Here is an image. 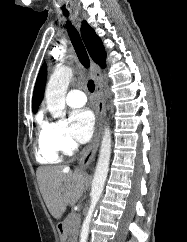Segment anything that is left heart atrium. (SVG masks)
<instances>
[{
  "instance_id": "1",
  "label": "left heart atrium",
  "mask_w": 187,
  "mask_h": 242,
  "mask_svg": "<svg viewBox=\"0 0 187 242\" xmlns=\"http://www.w3.org/2000/svg\"><path fill=\"white\" fill-rule=\"evenodd\" d=\"M72 136L79 142H87L94 131L95 117L87 108L76 109L70 114Z\"/></svg>"
}]
</instances>
